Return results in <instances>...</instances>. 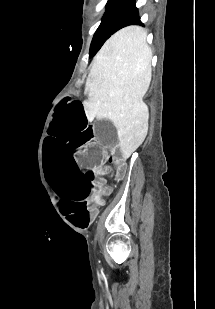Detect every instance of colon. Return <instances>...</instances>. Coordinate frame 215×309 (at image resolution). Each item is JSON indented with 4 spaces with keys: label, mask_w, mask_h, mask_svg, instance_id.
Segmentation results:
<instances>
[{
    "label": "colon",
    "mask_w": 215,
    "mask_h": 309,
    "mask_svg": "<svg viewBox=\"0 0 215 309\" xmlns=\"http://www.w3.org/2000/svg\"><path fill=\"white\" fill-rule=\"evenodd\" d=\"M100 151H101L102 156H103V157H106V159H107L108 161H111V160H114V159H115L111 154H107V155L105 156L104 152H103L102 150H100Z\"/></svg>",
    "instance_id": "5ec220e1"
}]
</instances>
